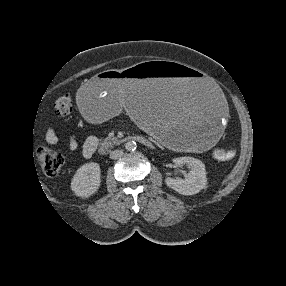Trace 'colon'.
Masks as SVG:
<instances>
[{
	"mask_svg": "<svg viewBox=\"0 0 286 286\" xmlns=\"http://www.w3.org/2000/svg\"><path fill=\"white\" fill-rule=\"evenodd\" d=\"M73 108L72 98L68 95L57 98L53 103V109L58 116H67ZM225 149H216L214 154L219 159H228ZM38 161L47 176H55L60 171L64 159L61 153L46 147H40L37 150Z\"/></svg>",
	"mask_w": 286,
	"mask_h": 286,
	"instance_id": "obj_1",
	"label": "colon"
}]
</instances>
